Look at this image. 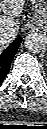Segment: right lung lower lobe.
<instances>
[{
    "instance_id": "obj_1",
    "label": "right lung lower lobe",
    "mask_w": 47,
    "mask_h": 129,
    "mask_svg": "<svg viewBox=\"0 0 47 129\" xmlns=\"http://www.w3.org/2000/svg\"><path fill=\"white\" fill-rule=\"evenodd\" d=\"M22 38L17 37L4 51L0 54V84L5 79L9 68L11 66V62L13 57L16 54L17 49L20 46Z\"/></svg>"
}]
</instances>
